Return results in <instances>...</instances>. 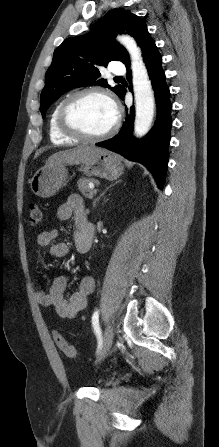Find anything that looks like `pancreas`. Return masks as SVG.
Returning a JSON list of instances; mask_svg holds the SVG:
<instances>
[{
	"mask_svg": "<svg viewBox=\"0 0 219 447\" xmlns=\"http://www.w3.org/2000/svg\"><path fill=\"white\" fill-rule=\"evenodd\" d=\"M90 182H96V181L92 180V179H87V178H80L77 181V185H78V189L82 193V195L86 198L91 199V198H93L95 193L93 192V189L89 188Z\"/></svg>",
	"mask_w": 219,
	"mask_h": 447,
	"instance_id": "obj_1",
	"label": "pancreas"
}]
</instances>
